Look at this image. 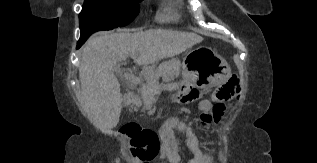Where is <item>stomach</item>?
Masks as SVG:
<instances>
[{"label": "stomach", "mask_w": 317, "mask_h": 163, "mask_svg": "<svg viewBox=\"0 0 317 163\" xmlns=\"http://www.w3.org/2000/svg\"><path fill=\"white\" fill-rule=\"evenodd\" d=\"M206 58L196 67L183 64L182 75L185 81L197 83L204 88H212L224 81L230 75L228 63L215 51L205 48Z\"/></svg>", "instance_id": "1"}]
</instances>
